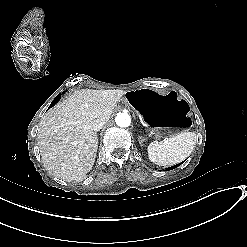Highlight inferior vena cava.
<instances>
[{"mask_svg": "<svg viewBox=\"0 0 247 247\" xmlns=\"http://www.w3.org/2000/svg\"><path fill=\"white\" fill-rule=\"evenodd\" d=\"M104 124H105V122H103V121L98 122L97 124H95L93 126V130L94 131H99L100 129H102Z\"/></svg>", "mask_w": 247, "mask_h": 247, "instance_id": "inferior-vena-cava-1", "label": "inferior vena cava"}]
</instances>
